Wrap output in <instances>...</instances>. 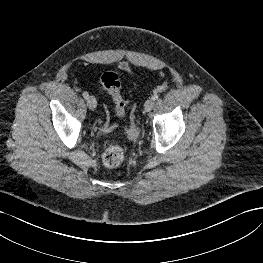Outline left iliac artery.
Here are the masks:
<instances>
[{
	"mask_svg": "<svg viewBox=\"0 0 263 263\" xmlns=\"http://www.w3.org/2000/svg\"><path fill=\"white\" fill-rule=\"evenodd\" d=\"M152 98H153L154 100H157V99L159 98V94L155 93V94L152 96Z\"/></svg>",
	"mask_w": 263,
	"mask_h": 263,
	"instance_id": "44dca946",
	"label": "left iliac artery"
}]
</instances>
